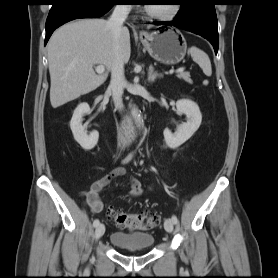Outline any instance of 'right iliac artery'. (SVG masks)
Here are the masks:
<instances>
[{
  "mask_svg": "<svg viewBox=\"0 0 278 278\" xmlns=\"http://www.w3.org/2000/svg\"><path fill=\"white\" fill-rule=\"evenodd\" d=\"M132 158V154H129L124 160H123V163H127L131 160ZM100 224V221L98 219H95L94 222H93V226L94 227H97L98 225Z\"/></svg>",
  "mask_w": 278,
  "mask_h": 278,
  "instance_id": "82829eb1",
  "label": "right iliac artery"
}]
</instances>
